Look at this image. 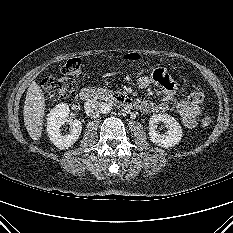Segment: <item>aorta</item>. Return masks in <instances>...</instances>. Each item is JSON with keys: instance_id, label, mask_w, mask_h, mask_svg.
Listing matches in <instances>:
<instances>
[{"instance_id": "obj_1", "label": "aorta", "mask_w": 233, "mask_h": 233, "mask_svg": "<svg viewBox=\"0 0 233 233\" xmlns=\"http://www.w3.org/2000/svg\"><path fill=\"white\" fill-rule=\"evenodd\" d=\"M112 109V104L111 103H107V102H104L103 103V108H102V113L103 114H107L111 111Z\"/></svg>"}]
</instances>
